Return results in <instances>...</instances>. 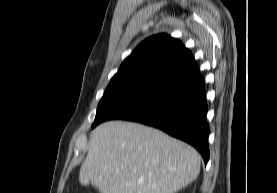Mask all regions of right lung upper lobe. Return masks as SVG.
Listing matches in <instances>:
<instances>
[{
    "mask_svg": "<svg viewBox=\"0 0 277 193\" xmlns=\"http://www.w3.org/2000/svg\"><path fill=\"white\" fill-rule=\"evenodd\" d=\"M199 68L191 52L166 34L147 38L124 60L107 89L153 92L187 77Z\"/></svg>",
    "mask_w": 277,
    "mask_h": 193,
    "instance_id": "1",
    "label": "right lung upper lobe"
}]
</instances>
